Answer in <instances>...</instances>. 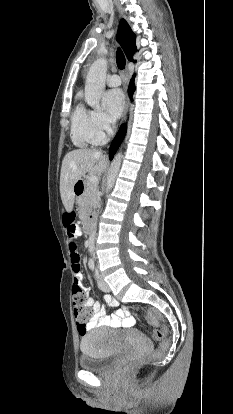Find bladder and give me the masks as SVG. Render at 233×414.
Segmentation results:
<instances>
[{
  "label": "bladder",
  "instance_id": "1",
  "mask_svg": "<svg viewBox=\"0 0 233 414\" xmlns=\"http://www.w3.org/2000/svg\"><path fill=\"white\" fill-rule=\"evenodd\" d=\"M132 332L142 345L150 346L146 337L137 331ZM116 335V331L102 328H95L85 333L80 343L82 355L79 358V367L93 372L107 370L120 353L116 344Z\"/></svg>",
  "mask_w": 233,
  "mask_h": 414
}]
</instances>
